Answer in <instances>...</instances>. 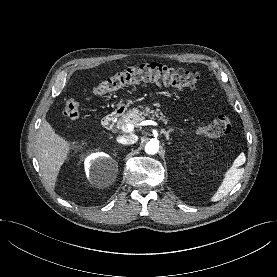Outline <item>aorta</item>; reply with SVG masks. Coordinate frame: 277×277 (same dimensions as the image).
Here are the masks:
<instances>
[{"label": "aorta", "instance_id": "1", "mask_svg": "<svg viewBox=\"0 0 277 277\" xmlns=\"http://www.w3.org/2000/svg\"><path fill=\"white\" fill-rule=\"evenodd\" d=\"M159 150V143L156 140H150L145 146V152L150 155H154Z\"/></svg>", "mask_w": 277, "mask_h": 277}]
</instances>
